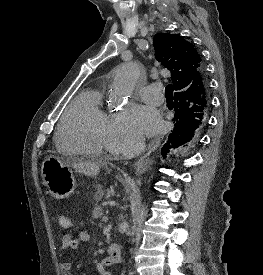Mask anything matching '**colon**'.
<instances>
[{"label":"colon","mask_w":263,"mask_h":275,"mask_svg":"<svg viewBox=\"0 0 263 275\" xmlns=\"http://www.w3.org/2000/svg\"><path fill=\"white\" fill-rule=\"evenodd\" d=\"M58 224L62 229L68 230L72 227V219L65 214H60L58 216Z\"/></svg>","instance_id":"1"}]
</instances>
